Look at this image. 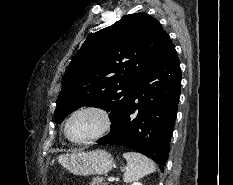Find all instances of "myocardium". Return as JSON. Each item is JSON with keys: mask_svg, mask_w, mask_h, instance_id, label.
I'll list each match as a JSON object with an SVG mask.
<instances>
[{"mask_svg": "<svg viewBox=\"0 0 233 185\" xmlns=\"http://www.w3.org/2000/svg\"><path fill=\"white\" fill-rule=\"evenodd\" d=\"M82 112H94L99 114L102 119V126L99 129V131L95 133L93 136L84 140H75L69 134V125L73 117ZM111 127H112V117L110 112L106 108L99 105H87L76 109L70 114V116L66 120L64 132L68 140L71 141L72 143L78 145H84L101 139L111 130Z\"/></svg>", "mask_w": 233, "mask_h": 185, "instance_id": "1", "label": "myocardium"}]
</instances>
